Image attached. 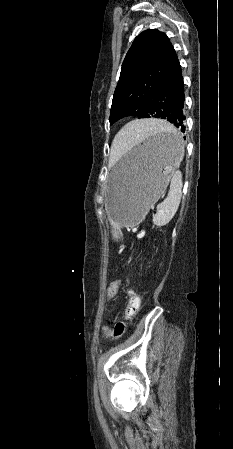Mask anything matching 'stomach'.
Returning <instances> with one entry per match:
<instances>
[{
  "label": "stomach",
  "mask_w": 233,
  "mask_h": 449,
  "mask_svg": "<svg viewBox=\"0 0 233 449\" xmlns=\"http://www.w3.org/2000/svg\"><path fill=\"white\" fill-rule=\"evenodd\" d=\"M176 133H155L110 171L107 185V210L114 234L122 226L139 224L168 185L182 159Z\"/></svg>",
  "instance_id": "0dacf381"
}]
</instances>
